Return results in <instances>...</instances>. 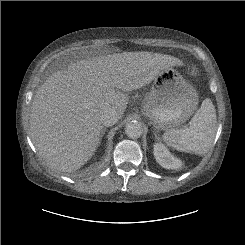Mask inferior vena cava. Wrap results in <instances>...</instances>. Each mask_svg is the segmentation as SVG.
Here are the masks:
<instances>
[{
  "mask_svg": "<svg viewBox=\"0 0 245 245\" xmlns=\"http://www.w3.org/2000/svg\"><path fill=\"white\" fill-rule=\"evenodd\" d=\"M99 117H100L101 123L104 126H112L120 118L118 112L114 108L109 107V106L103 107L100 110Z\"/></svg>",
  "mask_w": 245,
  "mask_h": 245,
  "instance_id": "inferior-vena-cava-1",
  "label": "inferior vena cava"
}]
</instances>
